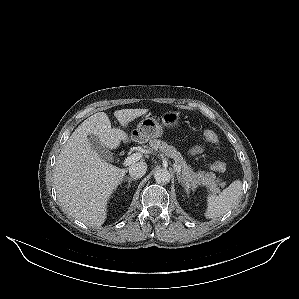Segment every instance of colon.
Here are the masks:
<instances>
[{"mask_svg": "<svg viewBox=\"0 0 299 299\" xmlns=\"http://www.w3.org/2000/svg\"><path fill=\"white\" fill-rule=\"evenodd\" d=\"M203 136L210 143H213L216 145L220 143L219 136L212 130H205L203 132ZM226 167H227V165L224 161H217L214 164H212V166H211L212 170L217 171V172L225 171Z\"/></svg>", "mask_w": 299, "mask_h": 299, "instance_id": "obj_1", "label": "colon"}]
</instances>
